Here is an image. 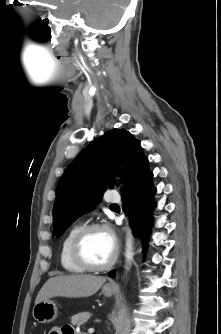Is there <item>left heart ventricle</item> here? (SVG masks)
<instances>
[{
  "label": "left heart ventricle",
  "mask_w": 221,
  "mask_h": 334,
  "mask_svg": "<svg viewBox=\"0 0 221 334\" xmlns=\"http://www.w3.org/2000/svg\"><path fill=\"white\" fill-rule=\"evenodd\" d=\"M82 250L91 263L101 265L107 263L113 256L115 243L108 232L95 230L85 238Z\"/></svg>",
  "instance_id": "obj_1"
}]
</instances>
